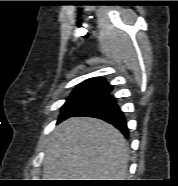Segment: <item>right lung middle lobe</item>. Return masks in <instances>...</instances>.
Returning a JSON list of instances; mask_svg holds the SVG:
<instances>
[{
	"label": "right lung middle lobe",
	"instance_id": "right-lung-middle-lobe-1",
	"mask_svg": "<svg viewBox=\"0 0 178 186\" xmlns=\"http://www.w3.org/2000/svg\"><path fill=\"white\" fill-rule=\"evenodd\" d=\"M110 89L111 86L109 85H88L75 88L62 106V113L59 116V121L75 113L91 101L99 98Z\"/></svg>",
	"mask_w": 178,
	"mask_h": 186
}]
</instances>
